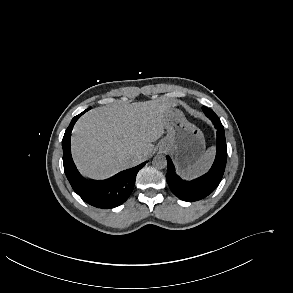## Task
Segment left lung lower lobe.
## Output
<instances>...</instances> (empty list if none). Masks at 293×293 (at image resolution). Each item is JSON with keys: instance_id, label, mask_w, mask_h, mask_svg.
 <instances>
[{"instance_id": "obj_1", "label": "left lung lower lobe", "mask_w": 293, "mask_h": 293, "mask_svg": "<svg viewBox=\"0 0 293 293\" xmlns=\"http://www.w3.org/2000/svg\"><path fill=\"white\" fill-rule=\"evenodd\" d=\"M217 129V150L211 169L203 176L192 180H182L175 173L174 165L167 156L166 179L169 188L178 198L184 201H197L211 194L219 185L225 171L227 161V146L224 127L219 119L211 120Z\"/></svg>"}]
</instances>
